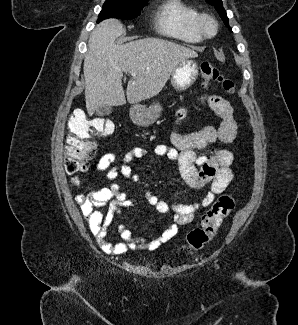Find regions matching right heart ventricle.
Returning <instances> with one entry per match:
<instances>
[{"mask_svg": "<svg viewBox=\"0 0 298 325\" xmlns=\"http://www.w3.org/2000/svg\"><path fill=\"white\" fill-rule=\"evenodd\" d=\"M199 15V11L191 5L168 3L156 13L157 31L161 37H177L181 44H198L203 40L196 27Z\"/></svg>", "mask_w": 298, "mask_h": 325, "instance_id": "obj_1", "label": "right heart ventricle"}]
</instances>
